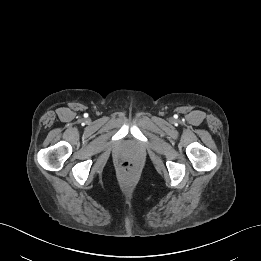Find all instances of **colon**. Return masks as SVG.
I'll use <instances>...</instances> for the list:
<instances>
[{
  "label": "colon",
  "mask_w": 261,
  "mask_h": 261,
  "mask_svg": "<svg viewBox=\"0 0 261 261\" xmlns=\"http://www.w3.org/2000/svg\"><path fill=\"white\" fill-rule=\"evenodd\" d=\"M122 173L126 176H132L136 173L137 168L135 165L129 163V162H125L122 164L121 167Z\"/></svg>",
  "instance_id": "5ec220e1"
}]
</instances>
